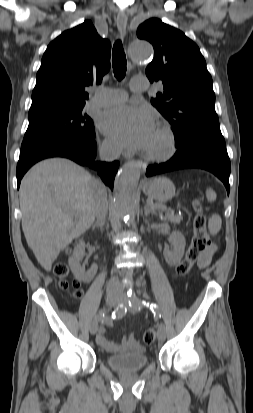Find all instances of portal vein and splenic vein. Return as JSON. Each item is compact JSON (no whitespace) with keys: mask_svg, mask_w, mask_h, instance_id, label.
<instances>
[{"mask_svg":"<svg viewBox=\"0 0 253 413\" xmlns=\"http://www.w3.org/2000/svg\"><path fill=\"white\" fill-rule=\"evenodd\" d=\"M150 206H151L152 208H156V205L150 204Z\"/></svg>","mask_w":253,"mask_h":413,"instance_id":"18ae733b","label":"portal vein and splenic vein"}]
</instances>
